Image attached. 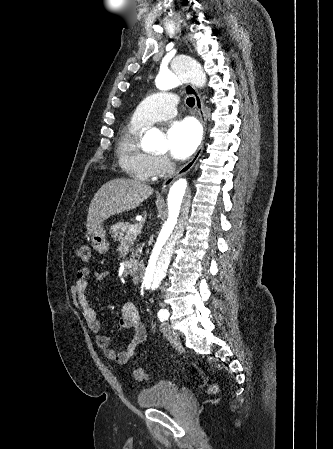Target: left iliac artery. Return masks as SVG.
Returning <instances> with one entry per match:
<instances>
[{
  "instance_id": "left-iliac-artery-1",
  "label": "left iliac artery",
  "mask_w": 333,
  "mask_h": 449,
  "mask_svg": "<svg viewBox=\"0 0 333 449\" xmlns=\"http://www.w3.org/2000/svg\"><path fill=\"white\" fill-rule=\"evenodd\" d=\"M169 316V312L166 309H161L158 312V318L161 322H163L164 320H167Z\"/></svg>"
}]
</instances>
